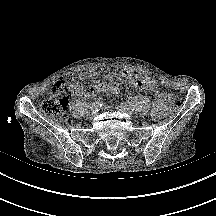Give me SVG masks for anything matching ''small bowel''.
<instances>
[{
	"label": "small bowel",
	"instance_id": "obj_1",
	"mask_svg": "<svg viewBox=\"0 0 216 216\" xmlns=\"http://www.w3.org/2000/svg\"><path fill=\"white\" fill-rule=\"evenodd\" d=\"M106 79L113 83L125 81L137 89H145L154 92L155 102L151 112L152 116L157 119L164 114L165 105L168 101V93L158 90L156 81L150 76L143 73L136 74L131 69H124L122 70L120 76L113 72L107 73ZM72 92L77 96L91 97L103 92L117 93V90L110 84L98 83L90 86L77 85Z\"/></svg>",
	"mask_w": 216,
	"mask_h": 216
}]
</instances>
